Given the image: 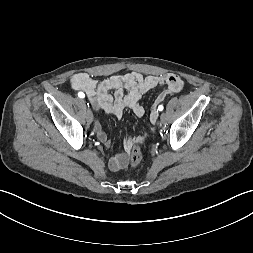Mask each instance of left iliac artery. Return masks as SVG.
<instances>
[{"label":"left iliac artery","instance_id":"obj_1","mask_svg":"<svg viewBox=\"0 0 253 253\" xmlns=\"http://www.w3.org/2000/svg\"><path fill=\"white\" fill-rule=\"evenodd\" d=\"M158 110H159V111H162V110H163V106L160 105V106L158 107Z\"/></svg>","mask_w":253,"mask_h":253}]
</instances>
